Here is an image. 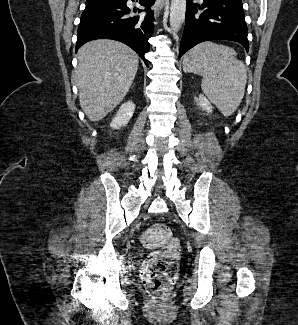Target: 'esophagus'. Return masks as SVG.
<instances>
[{
	"label": "esophagus",
	"mask_w": 298,
	"mask_h": 325,
	"mask_svg": "<svg viewBox=\"0 0 298 325\" xmlns=\"http://www.w3.org/2000/svg\"><path fill=\"white\" fill-rule=\"evenodd\" d=\"M163 7V0H158L156 6H155V11L161 9ZM157 16V13L155 14Z\"/></svg>",
	"instance_id": "esophagus-1"
}]
</instances>
